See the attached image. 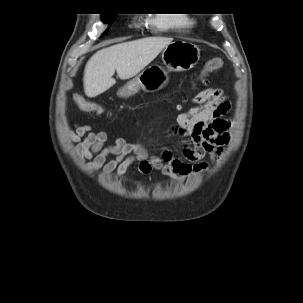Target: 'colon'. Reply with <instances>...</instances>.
Returning <instances> with one entry per match:
<instances>
[{"mask_svg": "<svg viewBox=\"0 0 303 303\" xmlns=\"http://www.w3.org/2000/svg\"><path fill=\"white\" fill-rule=\"evenodd\" d=\"M222 66H223V61L220 58H212L208 60L204 64L201 74L193 81L192 86L195 87L205 83L207 76L211 72L220 69ZM75 104L79 109L83 111L98 112V113L105 112L102 103L94 102L91 99L82 96H78L75 98Z\"/></svg>", "mask_w": 303, "mask_h": 303, "instance_id": "5ec220e1", "label": "colon"}]
</instances>
